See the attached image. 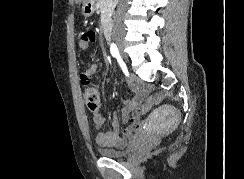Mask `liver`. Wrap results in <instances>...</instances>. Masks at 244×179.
<instances>
[{
    "label": "liver",
    "mask_w": 244,
    "mask_h": 179,
    "mask_svg": "<svg viewBox=\"0 0 244 179\" xmlns=\"http://www.w3.org/2000/svg\"><path fill=\"white\" fill-rule=\"evenodd\" d=\"M76 4H79V2H83V0H75Z\"/></svg>",
    "instance_id": "obj_1"
}]
</instances>
